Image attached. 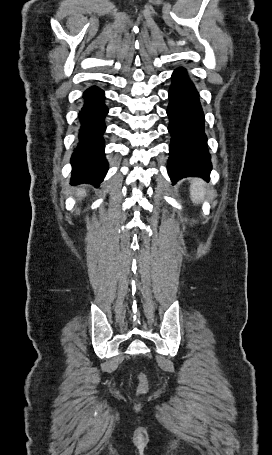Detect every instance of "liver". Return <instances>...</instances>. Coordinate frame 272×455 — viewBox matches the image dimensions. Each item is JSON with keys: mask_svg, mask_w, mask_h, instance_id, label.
<instances>
[{"mask_svg": "<svg viewBox=\"0 0 272 455\" xmlns=\"http://www.w3.org/2000/svg\"><path fill=\"white\" fill-rule=\"evenodd\" d=\"M85 194H86L85 190H79L78 193H77V195L80 196V197L84 196Z\"/></svg>", "mask_w": 272, "mask_h": 455, "instance_id": "1", "label": "liver"}]
</instances>
